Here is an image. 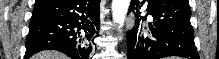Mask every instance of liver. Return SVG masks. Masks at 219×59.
Here are the masks:
<instances>
[{
  "instance_id": "1",
  "label": "liver",
  "mask_w": 219,
  "mask_h": 59,
  "mask_svg": "<svg viewBox=\"0 0 219 59\" xmlns=\"http://www.w3.org/2000/svg\"><path fill=\"white\" fill-rule=\"evenodd\" d=\"M31 59H68V57L60 52L47 50L35 54Z\"/></svg>"
}]
</instances>
